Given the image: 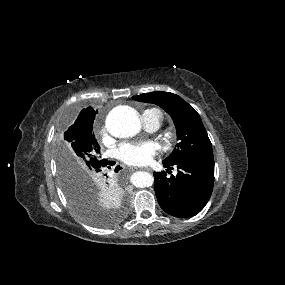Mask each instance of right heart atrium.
<instances>
[{"mask_svg": "<svg viewBox=\"0 0 285 285\" xmlns=\"http://www.w3.org/2000/svg\"><path fill=\"white\" fill-rule=\"evenodd\" d=\"M100 134H101L102 136H106L107 130H106L105 125H102V126L100 127Z\"/></svg>", "mask_w": 285, "mask_h": 285, "instance_id": "obj_1", "label": "right heart atrium"}]
</instances>
